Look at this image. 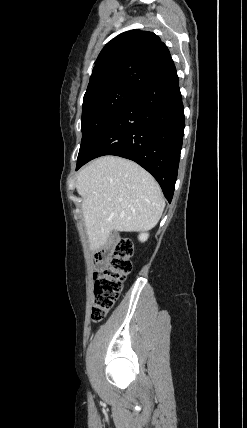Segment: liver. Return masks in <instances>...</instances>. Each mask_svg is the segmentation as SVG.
Listing matches in <instances>:
<instances>
[{
	"label": "liver",
	"mask_w": 247,
	"mask_h": 428,
	"mask_svg": "<svg viewBox=\"0 0 247 428\" xmlns=\"http://www.w3.org/2000/svg\"><path fill=\"white\" fill-rule=\"evenodd\" d=\"M76 189L91 250L107 244L112 231L152 229L160 220L165 202L155 179L138 164L104 156L81 169Z\"/></svg>",
	"instance_id": "obj_1"
}]
</instances>
